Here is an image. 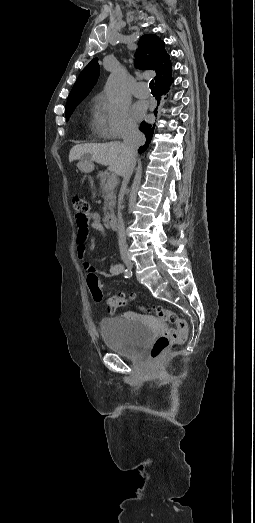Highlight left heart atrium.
Masks as SVG:
<instances>
[{"instance_id":"1","label":"left heart atrium","mask_w":255,"mask_h":523,"mask_svg":"<svg viewBox=\"0 0 255 523\" xmlns=\"http://www.w3.org/2000/svg\"><path fill=\"white\" fill-rule=\"evenodd\" d=\"M146 110V106L143 102H137L134 105L133 112L137 118H141Z\"/></svg>"}]
</instances>
